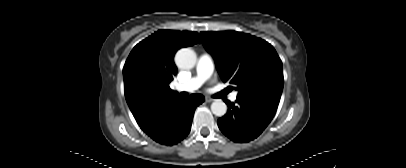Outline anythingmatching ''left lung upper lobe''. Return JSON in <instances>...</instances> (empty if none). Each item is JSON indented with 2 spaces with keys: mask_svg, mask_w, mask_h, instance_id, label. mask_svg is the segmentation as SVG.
Wrapping results in <instances>:
<instances>
[{
  "mask_svg": "<svg viewBox=\"0 0 406 168\" xmlns=\"http://www.w3.org/2000/svg\"><path fill=\"white\" fill-rule=\"evenodd\" d=\"M201 36L222 81L236 86L237 97L279 104L282 62L271 44L236 31L201 32Z\"/></svg>",
  "mask_w": 406,
  "mask_h": 168,
  "instance_id": "left-lung-upper-lobe-1",
  "label": "left lung upper lobe"
}]
</instances>
